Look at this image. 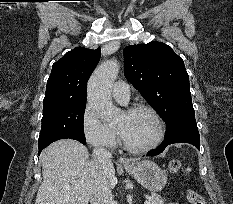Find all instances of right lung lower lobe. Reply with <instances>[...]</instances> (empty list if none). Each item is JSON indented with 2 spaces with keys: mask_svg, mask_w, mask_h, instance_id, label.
I'll return each mask as SVG.
<instances>
[{
  "mask_svg": "<svg viewBox=\"0 0 233 204\" xmlns=\"http://www.w3.org/2000/svg\"><path fill=\"white\" fill-rule=\"evenodd\" d=\"M75 140L81 142L82 144H86V141H85V140H81V139H75ZM45 147H47V146H45ZM45 147L39 148V152H41L42 149H44ZM38 154H40V153H38Z\"/></svg>",
  "mask_w": 233,
  "mask_h": 204,
  "instance_id": "98d812e1",
  "label": "right lung lower lobe"
}]
</instances>
